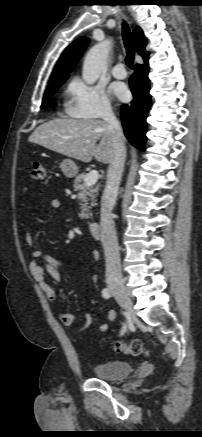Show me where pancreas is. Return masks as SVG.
Wrapping results in <instances>:
<instances>
[{
  "mask_svg": "<svg viewBox=\"0 0 202 437\" xmlns=\"http://www.w3.org/2000/svg\"><path fill=\"white\" fill-rule=\"evenodd\" d=\"M87 174L82 173L79 174L75 180H74V191H81V199L82 203L80 204L81 212L79 213V217L81 219H89L92 216V213L90 212V209L97 205L96 203V195L99 189V186H85V178Z\"/></svg>",
  "mask_w": 202,
  "mask_h": 437,
  "instance_id": "pancreas-1",
  "label": "pancreas"
}]
</instances>
